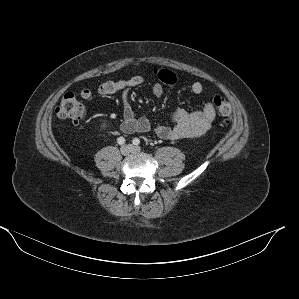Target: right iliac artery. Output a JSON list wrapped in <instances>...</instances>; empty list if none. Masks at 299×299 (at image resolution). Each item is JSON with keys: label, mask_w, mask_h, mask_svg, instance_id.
I'll return each mask as SVG.
<instances>
[{"label": "right iliac artery", "mask_w": 299, "mask_h": 299, "mask_svg": "<svg viewBox=\"0 0 299 299\" xmlns=\"http://www.w3.org/2000/svg\"><path fill=\"white\" fill-rule=\"evenodd\" d=\"M117 143L120 144V145H123L125 143V139L123 137H119L117 139Z\"/></svg>", "instance_id": "1"}]
</instances>
